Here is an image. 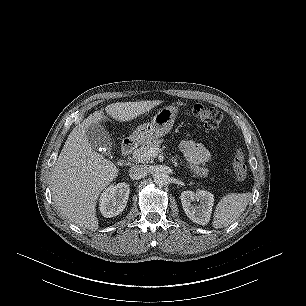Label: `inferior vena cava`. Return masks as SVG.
Segmentation results:
<instances>
[{"instance_id":"602c4592","label":"inferior vena cava","mask_w":306,"mask_h":306,"mask_svg":"<svg viewBox=\"0 0 306 306\" xmlns=\"http://www.w3.org/2000/svg\"><path fill=\"white\" fill-rule=\"evenodd\" d=\"M150 173V169L146 165H134L129 169V176L138 180L144 178Z\"/></svg>"}]
</instances>
